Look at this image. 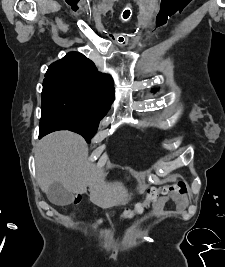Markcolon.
Wrapping results in <instances>:
<instances>
[{"label": "colon", "instance_id": "obj_1", "mask_svg": "<svg viewBox=\"0 0 225 267\" xmlns=\"http://www.w3.org/2000/svg\"><path fill=\"white\" fill-rule=\"evenodd\" d=\"M127 15L130 14V10L126 9ZM186 189V184L183 181H177L171 186H161V187H151L148 190L147 197L144 201L137 203L133 208H127L124 210L119 216V219H127L132 218L133 216L137 214L143 213L146 209L149 208V206L155 202L159 197L167 195L169 193H183ZM78 200H75V203H77ZM116 218V215L114 213H111L108 217L99 219L96 222V227L112 221Z\"/></svg>", "mask_w": 225, "mask_h": 267}]
</instances>
